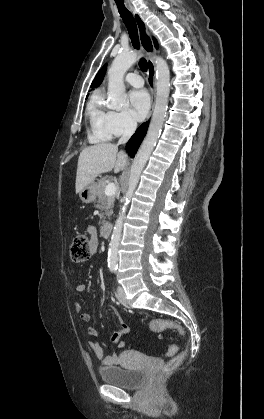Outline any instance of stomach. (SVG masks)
Returning a JSON list of instances; mask_svg holds the SVG:
<instances>
[{"mask_svg":"<svg viewBox=\"0 0 264 419\" xmlns=\"http://www.w3.org/2000/svg\"><path fill=\"white\" fill-rule=\"evenodd\" d=\"M79 197L83 203H91L96 200L97 197V184L95 182H91L87 186H85L80 192Z\"/></svg>","mask_w":264,"mask_h":419,"instance_id":"obj_1","label":"stomach"}]
</instances>
